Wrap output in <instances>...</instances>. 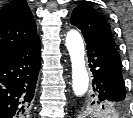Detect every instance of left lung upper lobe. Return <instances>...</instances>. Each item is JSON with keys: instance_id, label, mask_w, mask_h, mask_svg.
Here are the masks:
<instances>
[{"instance_id": "5c2ea615", "label": "left lung upper lobe", "mask_w": 133, "mask_h": 118, "mask_svg": "<svg viewBox=\"0 0 133 118\" xmlns=\"http://www.w3.org/2000/svg\"><path fill=\"white\" fill-rule=\"evenodd\" d=\"M71 24L78 27L82 34L98 43L116 49V42L111 32L110 24L104 16L87 4L78 5L71 15ZM92 97V98H91ZM90 98L81 101L83 116H91L97 113L121 111L125 103L98 102L93 94Z\"/></svg>"}]
</instances>
